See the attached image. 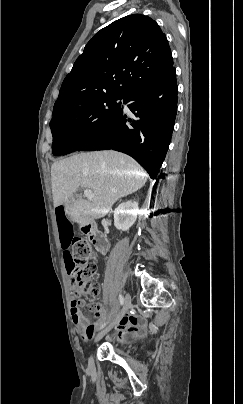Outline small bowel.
<instances>
[{
    "instance_id": "obj_1",
    "label": "small bowel",
    "mask_w": 243,
    "mask_h": 404,
    "mask_svg": "<svg viewBox=\"0 0 243 404\" xmlns=\"http://www.w3.org/2000/svg\"><path fill=\"white\" fill-rule=\"evenodd\" d=\"M56 222L59 230L60 243L63 249V259L69 273L73 274L72 253L69 246L73 238V229L71 223L65 216L62 206H58L55 211ZM83 299H73L71 302V317L73 323L81 334L82 339L89 340L92 338L98 324L101 321V311L99 308L91 307L95 310V321L88 320L81 312L80 308L84 306ZM117 332H134L144 333L146 331L145 324L133 315L122 317L117 323Z\"/></svg>"
}]
</instances>
